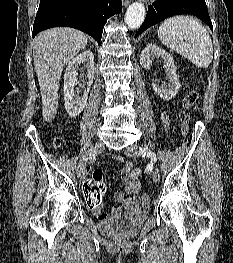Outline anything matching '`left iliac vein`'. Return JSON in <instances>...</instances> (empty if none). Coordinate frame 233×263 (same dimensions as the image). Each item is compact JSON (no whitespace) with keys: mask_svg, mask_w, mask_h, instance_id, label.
Here are the masks:
<instances>
[{"mask_svg":"<svg viewBox=\"0 0 233 263\" xmlns=\"http://www.w3.org/2000/svg\"><path fill=\"white\" fill-rule=\"evenodd\" d=\"M139 146L137 144L130 145L124 149V153L127 156L135 157L138 156ZM152 179L154 182H158L160 179V170L158 167H154L152 171Z\"/></svg>","mask_w":233,"mask_h":263,"instance_id":"4c4485c4","label":"left iliac vein"}]
</instances>
